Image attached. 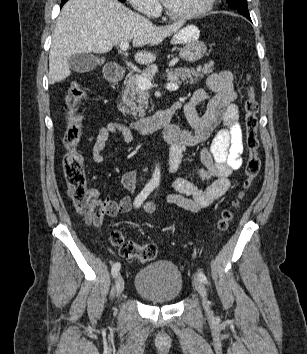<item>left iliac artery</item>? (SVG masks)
Wrapping results in <instances>:
<instances>
[{"mask_svg":"<svg viewBox=\"0 0 307 354\" xmlns=\"http://www.w3.org/2000/svg\"><path fill=\"white\" fill-rule=\"evenodd\" d=\"M197 277L203 282V283H207V277L205 276V274L203 272H198Z\"/></svg>","mask_w":307,"mask_h":354,"instance_id":"44dca946","label":"left iliac artery"}]
</instances>
